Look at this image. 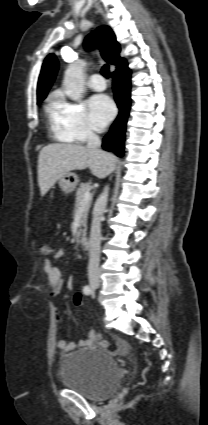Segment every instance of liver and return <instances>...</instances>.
I'll return each instance as SVG.
<instances>
[{"label":"liver","mask_w":208,"mask_h":425,"mask_svg":"<svg viewBox=\"0 0 208 425\" xmlns=\"http://www.w3.org/2000/svg\"><path fill=\"white\" fill-rule=\"evenodd\" d=\"M116 161L117 158L110 153H106L103 157L82 145L49 144L41 149L38 157V184L41 196L70 171L89 168L94 176L102 179L113 171Z\"/></svg>","instance_id":"6515ba94"}]
</instances>
